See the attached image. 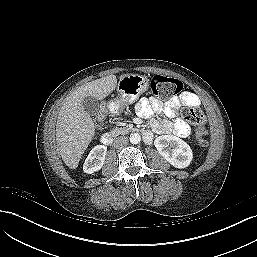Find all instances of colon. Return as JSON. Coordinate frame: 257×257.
I'll use <instances>...</instances> for the list:
<instances>
[{
    "mask_svg": "<svg viewBox=\"0 0 257 257\" xmlns=\"http://www.w3.org/2000/svg\"><path fill=\"white\" fill-rule=\"evenodd\" d=\"M150 87L155 96L164 100L179 93L182 89V84L177 79L155 75L150 80ZM105 115L106 111L103 108L100 112V116L103 118ZM183 117L186 121L195 126L196 132L200 137L197 149L200 150L204 148L207 145V141L204 138L206 136V118L202 110L198 107H187L183 110Z\"/></svg>",
    "mask_w": 257,
    "mask_h": 257,
    "instance_id": "obj_1",
    "label": "colon"
}]
</instances>
